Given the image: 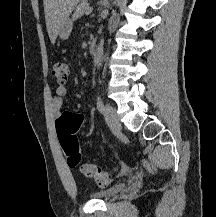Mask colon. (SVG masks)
<instances>
[{"instance_id":"colon-1","label":"colon","mask_w":216,"mask_h":217,"mask_svg":"<svg viewBox=\"0 0 216 217\" xmlns=\"http://www.w3.org/2000/svg\"><path fill=\"white\" fill-rule=\"evenodd\" d=\"M70 67L65 61H57L52 66V75L59 83H66L69 77ZM84 122V115L81 113H65L57 122V133L60 145L64 151L67 163L71 167H77L81 163V152L79 149L76 133ZM82 175L86 178H92L100 186L108 185L113 176L119 171L113 173L101 170L93 164H83L80 167Z\"/></svg>"}]
</instances>
